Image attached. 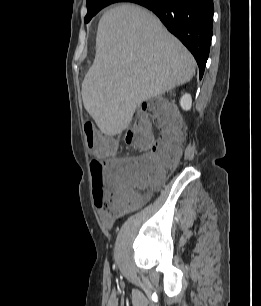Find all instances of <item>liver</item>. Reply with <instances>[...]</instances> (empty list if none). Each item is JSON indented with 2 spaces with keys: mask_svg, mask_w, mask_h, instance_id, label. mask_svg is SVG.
Wrapping results in <instances>:
<instances>
[{
  "mask_svg": "<svg viewBox=\"0 0 261 306\" xmlns=\"http://www.w3.org/2000/svg\"><path fill=\"white\" fill-rule=\"evenodd\" d=\"M195 67L155 15L116 6L98 24L95 59L82 83L84 108L104 134H120L142 102L189 82Z\"/></svg>",
  "mask_w": 261,
  "mask_h": 306,
  "instance_id": "obj_1",
  "label": "liver"
}]
</instances>
